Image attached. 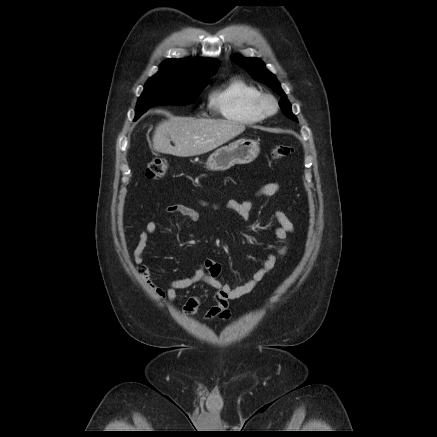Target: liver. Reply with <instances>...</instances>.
Listing matches in <instances>:
<instances>
[{"label": "liver", "mask_w": 437, "mask_h": 437, "mask_svg": "<svg viewBox=\"0 0 437 437\" xmlns=\"http://www.w3.org/2000/svg\"><path fill=\"white\" fill-rule=\"evenodd\" d=\"M245 129V125L229 120L176 117L155 128L153 148L179 157L196 156L225 144Z\"/></svg>", "instance_id": "1"}]
</instances>
